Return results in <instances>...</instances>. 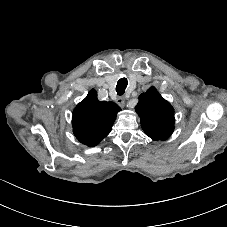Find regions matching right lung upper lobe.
<instances>
[{
    "instance_id": "obj_1",
    "label": "right lung upper lobe",
    "mask_w": 227,
    "mask_h": 227,
    "mask_svg": "<svg viewBox=\"0 0 227 227\" xmlns=\"http://www.w3.org/2000/svg\"><path fill=\"white\" fill-rule=\"evenodd\" d=\"M120 110L116 103L99 101L96 90L92 89L73 111L74 135L81 143L96 146L110 133Z\"/></svg>"
}]
</instances>
